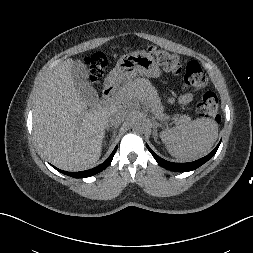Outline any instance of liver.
Masks as SVG:
<instances>
[{
    "label": "liver",
    "mask_w": 253,
    "mask_h": 253,
    "mask_svg": "<svg viewBox=\"0 0 253 253\" xmlns=\"http://www.w3.org/2000/svg\"><path fill=\"white\" fill-rule=\"evenodd\" d=\"M73 62H62L39 92L33 109V131L39 148L52 164L67 171H81L99 160L110 113L127 110L132 101H144L147 93L142 83L128 81L120 88L122 96L111 105H89L74 86Z\"/></svg>",
    "instance_id": "liver-1"
}]
</instances>
